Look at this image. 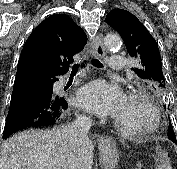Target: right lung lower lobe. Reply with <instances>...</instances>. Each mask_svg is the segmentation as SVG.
<instances>
[{
	"instance_id": "obj_1",
	"label": "right lung lower lobe",
	"mask_w": 177,
	"mask_h": 169,
	"mask_svg": "<svg viewBox=\"0 0 177 169\" xmlns=\"http://www.w3.org/2000/svg\"><path fill=\"white\" fill-rule=\"evenodd\" d=\"M46 71L17 70L3 138L18 130L60 123L68 103L53 90L57 76Z\"/></svg>"
}]
</instances>
